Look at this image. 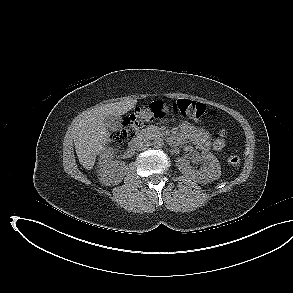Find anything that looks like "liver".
Returning <instances> with one entry per match:
<instances>
[{"label": "liver", "instance_id": "6515ba94", "mask_svg": "<svg viewBox=\"0 0 293 293\" xmlns=\"http://www.w3.org/2000/svg\"><path fill=\"white\" fill-rule=\"evenodd\" d=\"M137 104L135 99H125L116 103L95 107L79 115L73 125L72 134L74 145L80 164L87 170H91L96 157L112 154L108 149L110 133L104 121L107 116H121L126 114Z\"/></svg>", "mask_w": 293, "mask_h": 293}]
</instances>
